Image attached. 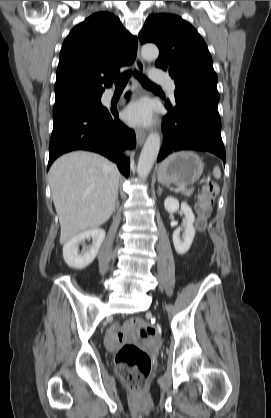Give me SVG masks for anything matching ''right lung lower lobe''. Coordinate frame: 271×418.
<instances>
[{
  "mask_svg": "<svg viewBox=\"0 0 271 418\" xmlns=\"http://www.w3.org/2000/svg\"><path fill=\"white\" fill-rule=\"evenodd\" d=\"M53 119L47 169L60 155L81 149L106 156L117 163L126 177L129 175V160L122 156V151L135 146V134L119 121L116 108L88 107Z\"/></svg>",
  "mask_w": 271,
  "mask_h": 418,
  "instance_id": "obj_1",
  "label": "right lung lower lobe"
}]
</instances>
